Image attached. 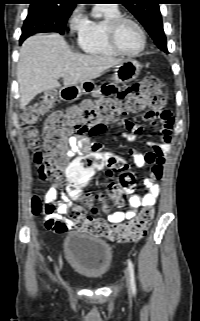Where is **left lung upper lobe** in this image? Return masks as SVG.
<instances>
[{
  "mask_svg": "<svg viewBox=\"0 0 200 321\" xmlns=\"http://www.w3.org/2000/svg\"><path fill=\"white\" fill-rule=\"evenodd\" d=\"M161 0H120L143 25L162 51H167L159 3Z\"/></svg>",
  "mask_w": 200,
  "mask_h": 321,
  "instance_id": "obj_1",
  "label": "left lung upper lobe"
}]
</instances>
